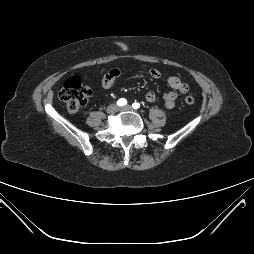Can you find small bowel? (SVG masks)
<instances>
[{
  "mask_svg": "<svg viewBox=\"0 0 254 254\" xmlns=\"http://www.w3.org/2000/svg\"><path fill=\"white\" fill-rule=\"evenodd\" d=\"M149 75L154 79H159L161 77V73L159 70L152 68L149 70ZM121 76V70L118 68L111 69L108 71L101 81V88L103 90H108L113 87L116 80ZM168 85L173 89V91H170L166 93L163 96V103L164 106L168 109H172L176 105V100L178 93L185 94L188 92L189 87L186 83L181 81L178 77L171 76L167 79ZM147 102H154L156 100V94L152 91H149L145 95Z\"/></svg>",
  "mask_w": 254,
  "mask_h": 254,
  "instance_id": "1",
  "label": "small bowel"
}]
</instances>
